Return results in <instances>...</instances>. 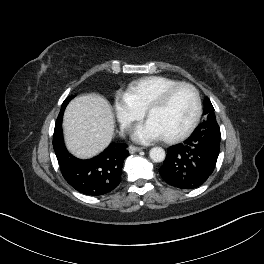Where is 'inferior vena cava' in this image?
I'll list each match as a JSON object with an SVG mask.
<instances>
[{"mask_svg":"<svg viewBox=\"0 0 264 264\" xmlns=\"http://www.w3.org/2000/svg\"><path fill=\"white\" fill-rule=\"evenodd\" d=\"M126 126L124 125L123 127H122V129H124ZM122 135H123V130H122Z\"/></svg>","mask_w":264,"mask_h":264,"instance_id":"1","label":"inferior vena cava"}]
</instances>
